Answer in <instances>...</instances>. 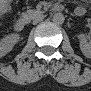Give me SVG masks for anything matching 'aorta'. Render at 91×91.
Returning <instances> with one entry per match:
<instances>
[{
	"label": "aorta",
	"instance_id": "obj_1",
	"mask_svg": "<svg viewBox=\"0 0 91 91\" xmlns=\"http://www.w3.org/2000/svg\"><path fill=\"white\" fill-rule=\"evenodd\" d=\"M65 17L62 13H55L53 15V19L52 21L57 24V25H61L64 23Z\"/></svg>",
	"mask_w": 91,
	"mask_h": 91
}]
</instances>
